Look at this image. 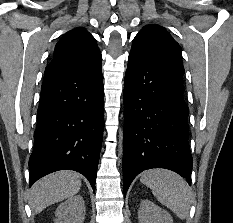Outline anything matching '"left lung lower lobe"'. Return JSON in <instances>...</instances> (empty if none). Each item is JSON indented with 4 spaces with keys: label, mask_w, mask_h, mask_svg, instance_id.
Returning a JSON list of instances; mask_svg holds the SVG:
<instances>
[{
    "label": "left lung lower lobe",
    "mask_w": 233,
    "mask_h": 223,
    "mask_svg": "<svg viewBox=\"0 0 233 223\" xmlns=\"http://www.w3.org/2000/svg\"><path fill=\"white\" fill-rule=\"evenodd\" d=\"M183 74L132 45L124 86V195L136 175L151 168L172 170L191 185Z\"/></svg>",
    "instance_id": "1"
}]
</instances>
